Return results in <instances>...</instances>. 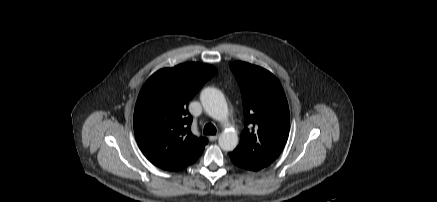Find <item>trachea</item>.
Here are the masks:
<instances>
[{"mask_svg":"<svg viewBox=\"0 0 437 202\" xmlns=\"http://www.w3.org/2000/svg\"><path fill=\"white\" fill-rule=\"evenodd\" d=\"M203 133L205 135H215L216 134V127L213 124L208 123L204 126Z\"/></svg>","mask_w":437,"mask_h":202,"instance_id":"3493384b","label":"trachea"}]
</instances>
